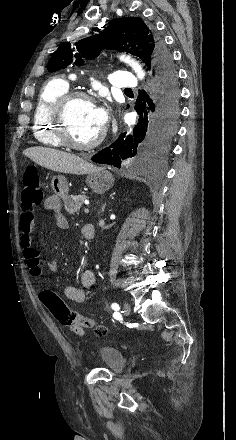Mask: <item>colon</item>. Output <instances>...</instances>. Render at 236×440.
<instances>
[{
    "mask_svg": "<svg viewBox=\"0 0 236 440\" xmlns=\"http://www.w3.org/2000/svg\"><path fill=\"white\" fill-rule=\"evenodd\" d=\"M43 198L44 192L38 172L33 168L27 169L23 174V190L21 192V207L23 211L29 212L33 208L38 207L42 203ZM40 296L52 316L63 326L71 328L74 324H82L85 329L94 326L92 320L71 311L65 302L52 290L44 289L41 291ZM96 332L99 335H104L106 329L103 326H97Z\"/></svg>",
    "mask_w": 236,
    "mask_h": 440,
    "instance_id": "1",
    "label": "colon"
}]
</instances>
